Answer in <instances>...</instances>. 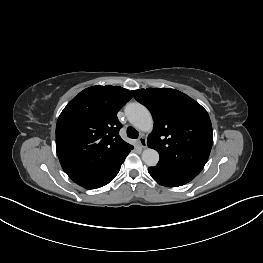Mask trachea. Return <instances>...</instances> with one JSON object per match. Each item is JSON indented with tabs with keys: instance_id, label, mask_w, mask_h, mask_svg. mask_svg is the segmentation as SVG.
Segmentation results:
<instances>
[{
	"instance_id": "trachea-1",
	"label": "trachea",
	"mask_w": 263,
	"mask_h": 263,
	"mask_svg": "<svg viewBox=\"0 0 263 263\" xmlns=\"http://www.w3.org/2000/svg\"><path fill=\"white\" fill-rule=\"evenodd\" d=\"M127 136H128L129 138H132V139H137L138 136H139V133H138V131H137L135 128H133V127H128V128H127Z\"/></svg>"
}]
</instances>
